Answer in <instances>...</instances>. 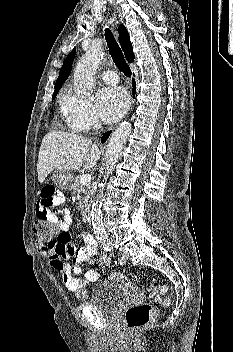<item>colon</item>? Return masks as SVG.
Segmentation results:
<instances>
[{
	"label": "colon",
	"instance_id": "colon-1",
	"mask_svg": "<svg viewBox=\"0 0 233 352\" xmlns=\"http://www.w3.org/2000/svg\"><path fill=\"white\" fill-rule=\"evenodd\" d=\"M34 233L39 240L50 241L58 235L56 226L47 219H37L33 226ZM101 266L108 265V258L102 257L100 261ZM166 286L159 284L155 280L148 283V294L153 301L150 303H141L131 306L125 313V321L127 327L132 330H137L152 322L157 316V309L155 305L161 304L164 307L170 305V299L165 297ZM76 298L84 300L88 296V292L84 287H78L75 290Z\"/></svg>",
	"mask_w": 233,
	"mask_h": 352
}]
</instances>
